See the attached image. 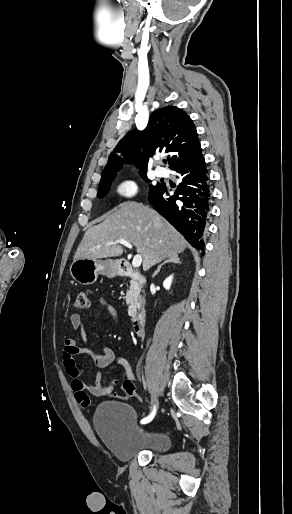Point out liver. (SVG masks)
<instances>
[{"label":"liver","instance_id":"liver-1","mask_svg":"<svg viewBox=\"0 0 292 514\" xmlns=\"http://www.w3.org/2000/svg\"><path fill=\"white\" fill-rule=\"evenodd\" d=\"M117 240H127L136 246L145 272L165 258L181 254L187 246L183 236L155 210L137 202H124L111 210L102 224L85 232L74 260L122 256V246L110 244Z\"/></svg>","mask_w":292,"mask_h":514}]
</instances>
